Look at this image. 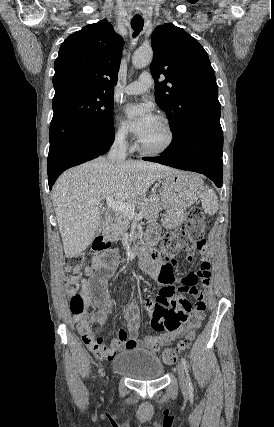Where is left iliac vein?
Here are the masks:
<instances>
[{"mask_svg":"<svg viewBox=\"0 0 274 427\" xmlns=\"http://www.w3.org/2000/svg\"><path fill=\"white\" fill-rule=\"evenodd\" d=\"M177 373H178V377H179V381H180V386L182 390H186L187 389V379L185 376V372H184V368L183 365L178 363L177 367H176Z\"/></svg>","mask_w":274,"mask_h":427,"instance_id":"4c4485c4","label":"left iliac vein"}]
</instances>
